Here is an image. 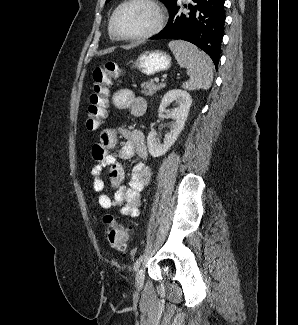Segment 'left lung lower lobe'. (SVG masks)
<instances>
[{
    "instance_id": "obj_1",
    "label": "left lung lower lobe",
    "mask_w": 298,
    "mask_h": 325,
    "mask_svg": "<svg viewBox=\"0 0 298 325\" xmlns=\"http://www.w3.org/2000/svg\"><path fill=\"white\" fill-rule=\"evenodd\" d=\"M184 5L190 12L181 13L178 0L169 6V22L166 27L151 39H182L189 41L213 60L216 68L219 62L220 46L225 23V0H192Z\"/></svg>"
}]
</instances>
